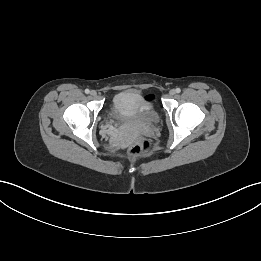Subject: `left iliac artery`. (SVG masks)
Instances as JSON below:
<instances>
[{"mask_svg":"<svg viewBox=\"0 0 261 261\" xmlns=\"http://www.w3.org/2000/svg\"><path fill=\"white\" fill-rule=\"evenodd\" d=\"M176 92H177V93H180V92H181V89H180V88H176Z\"/></svg>","mask_w":261,"mask_h":261,"instance_id":"44dca946","label":"left iliac artery"}]
</instances>
